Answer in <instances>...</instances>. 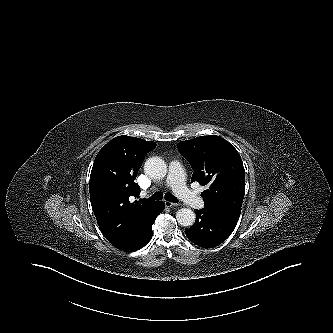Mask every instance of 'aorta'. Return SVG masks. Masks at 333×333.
<instances>
[{
  "instance_id": "aorta-1",
  "label": "aorta",
  "mask_w": 333,
  "mask_h": 333,
  "mask_svg": "<svg viewBox=\"0 0 333 333\" xmlns=\"http://www.w3.org/2000/svg\"><path fill=\"white\" fill-rule=\"evenodd\" d=\"M145 172L154 179H162L167 174V165L160 157H151L144 165ZM195 213L188 208H181L176 212V219L182 226H192L195 222Z\"/></svg>"
}]
</instances>
